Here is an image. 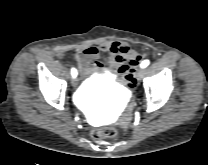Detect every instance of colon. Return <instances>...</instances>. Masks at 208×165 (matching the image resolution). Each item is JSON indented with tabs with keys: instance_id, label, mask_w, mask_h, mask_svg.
I'll return each mask as SVG.
<instances>
[{
	"instance_id": "colon-1",
	"label": "colon",
	"mask_w": 208,
	"mask_h": 165,
	"mask_svg": "<svg viewBox=\"0 0 208 165\" xmlns=\"http://www.w3.org/2000/svg\"><path fill=\"white\" fill-rule=\"evenodd\" d=\"M134 63L138 64L139 60L135 59ZM124 82L131 90H134L138 86V80L134 76V69L132 67L126 68L124 74ZM126 123L128 124V121ZM117 135V130L112 127L96 128L91 132V136L94 139L114 138Z\"/></svg>"
}]
</instances>
